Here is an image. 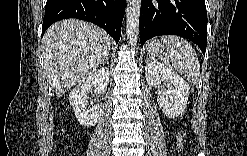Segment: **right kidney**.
<instances>
[{
    "label": "right kidney",
    "mask_w": 247,
    "mask_h": 156,
    "mask_svg": "<svg viewBox=\"0 0 247 156\" xmlns=\"http://www.w3.org/2000/svg\"><path fill=\"white\" fill-rule=\"evenodd\" d=\"M110 72L107 67L91 73L86 79L78 82L69 94V102L74 111L75 117L80 124L90 127L95 125L101 115V106L89 105L86 94L92 89L96 93H102L107 89Z\"/></svg>",
    "instance_id": "1"
}]
</instances>
